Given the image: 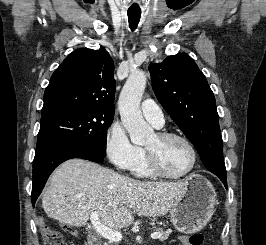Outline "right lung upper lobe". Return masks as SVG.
Returning <instances> with one entry per match:
<instances>
[{
	"label": "right lung upper lobe",
	"mask_w": 266,
	"mask_h": 245,
	"mask_svg": "<svg viewBox=\"0 0 266 245\" xmlns=\"http://www.w3.org/2000/svg\"><path fill=\"white\" fill-rule=\"evenodd\" d=\"M114 94V63L109 53L103 48L77 49L53 73L41 119L86 107L114 112Z\"/></svg>",
	"instance_id": "1"
}]
</instances>
